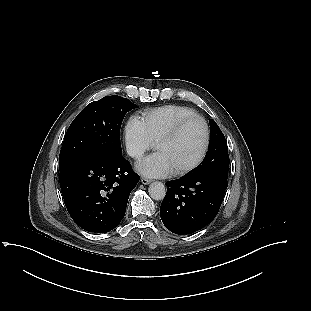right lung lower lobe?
Segmentation results:
<instances>
[{
    "instance_id": "right-lung-lower-lobe-1",
    "label": "right lung lower lobe",
    "mask_w": 311,
    "mask_h": 311,
    "mask_svg": "<svg viewBox=\"0 0 311 311\" xmlns=\"http://www.w3.org/2000/svg\"><path fill=\"white\" fill-rule=\"evenodd\" d=\"M138 181L139 176L122 155L85 157L60 170L66 208L89 232L106 233L120 223Z\"/></svg>"
}]
</instances>
